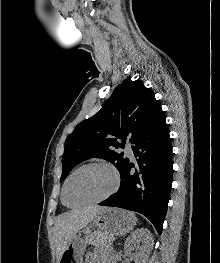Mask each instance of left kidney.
I'll return each mask as SVG.
<instances>
[{
  "mask_svg": "<svg viewBox=\"0 0 220 263\" xmlns=\"http://www.w3.org/2000/svg\"><path fill=\"white\" fill-rule=\"evenodd\" d=\"M140 243L142 244L140 246ZM154 240L147 228L135 230L127 239L124 245V252L133 258L135 263H146L153 248ZM136 249L135 253L132 251Z\"/></svg>",
  "mask_w": 220,
  "mask_h": 263,
  "instance_id": "1",
  "label": "left kidney"
}]
</instances>
